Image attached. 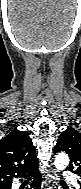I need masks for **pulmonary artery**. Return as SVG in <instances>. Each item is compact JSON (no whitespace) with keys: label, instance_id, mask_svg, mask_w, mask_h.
I'll list each match as a JSON object with an SVG mask.
<instances>
[{"label":"pulmonary artery","instance_id":"pulmonary-artery-1","mask_svg":"<svg viewBox=\"0 0 81 189\" xmlns=\"http://www.w3.org/2000/svg\"><path fill=\"white\" fill-rule=\"evenodd\" d=\"M63 177L65 180L72 182L73 185L77 187L76 178L73 173L66 171L64 172Z\"/></svg>","mask_w":81,"mask_h":189}]
</instances>
